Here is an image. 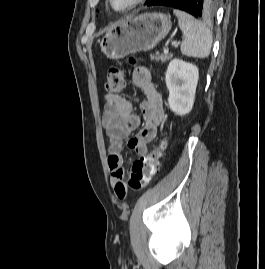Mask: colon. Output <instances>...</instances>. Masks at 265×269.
Wrapping results in <instances>:
<instances>
[{"label":"colon","mask_w":265,"mask_h":269,"mask_svg":"<svg viewBox=\"0 0 265 269\" xmlns=\"http://www.w3.org/2000/svg\"><path fill=\"white\" fill-rule=\"evenodd\" d=\"M125 84L124 72L117 66L109 68L104 82L105 92L108 94H118L124 90ZM166 146V141L162 140L153 152L141 156L133 162L125 185L117 187L116 192L119 198H123L128 190L139 191L151 182L156 174L159 160L163 156Z\"/></svg>","instance_id":"colon-1"}]
</instances>
